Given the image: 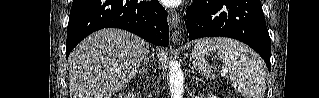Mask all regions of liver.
<instances>
[{
	"label": "liver",
	"mask_w": 319,
	"mask_h": 98,
	"mask_svg": "<svg viewBox=\"0 0 319 98\" xmlns=\"http://www.w3.org/2000/svg\"><path fill=\"white\" fill-rule=\"evenodd\" d=\"M149 43L120 29H103L69 55L71 98H111L136 75Z\"/></svg>",
	"instance_id": "liver-1"
}]
</instances>
